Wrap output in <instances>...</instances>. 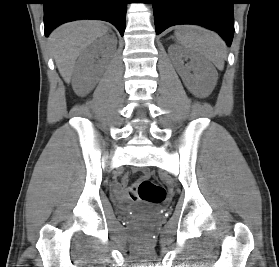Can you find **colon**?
I'll return each mask as SVG.
<instances>
[{"label":"colon","mask_w":279,"mask_h":267,"mask_svg":"<svg viewBox=\"0 0 279 267\" xmlns=\"http://www.w3.org/2000/svg\"><path fill=\"white\" fill-rule=\"evenodd\" d=\"M137 192V198L150 203H161L165 200V189L152 182L147 173H143L137 183L135 191Z\"/></svg>","instance_id":"obj_1"}]
</instances>
